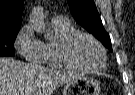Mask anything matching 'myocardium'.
I'll return each mask as SVG.
<instances>
[{
	"label": "myocardium",
	"instance_id": "1",
	"mask_svg": "<svg viewBox=\"0 0 135 95\" xmlns=\"http://www.w3.org/2000/svg\"><path fill=\"white\" fill-rule=\"evenodd\" d=\"M80 37H85L91 40L96 46L99 48V50L102 53L103 56V63L101 66L96 67V68H91L84 66L80 63H78L71 55V49L74 44V42L80 38ZM57 55L59 59L66 65L72 67V68H77L80 70L88 71V72H99L104 69V67L107 64V53L103 45L100 43L99 40H97L93 35L84 32V31H74L68 36H66L57 46Z\"/></svg>",
	"mask_w": 135,
	"mask_h": 95
}]
</instances>
